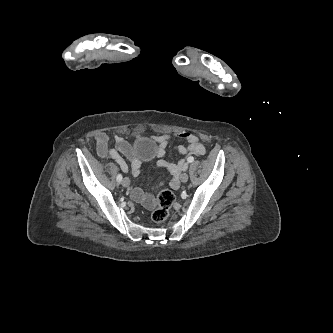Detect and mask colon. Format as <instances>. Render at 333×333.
<instances>
[{"instance_id": "colon-1", "label": "colon", "mask_w": 333, "mask_h": 333, "mask_svg": "<svg viewBox=\"0 0 333 333\" xmlns=\"http://www.w3.org/2000/svg\"><path fill=\"white\" fill-rule=\"evenodd\" d=\"M158 206L152 213V219L156 223L165 222L170 216V209L175 201L172 191L164 189L158 194Z\"/></svg>"}]
</instances>
